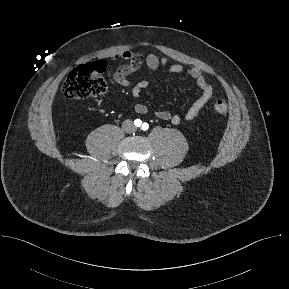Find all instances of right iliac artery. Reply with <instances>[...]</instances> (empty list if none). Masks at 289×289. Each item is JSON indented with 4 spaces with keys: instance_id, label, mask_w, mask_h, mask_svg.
<instances>
[{
    "instance_id": "1",
    "label": "right iliac artery",
    "mask_w": 289,
    "mask_h": 289,
    "mask_svg": "<svg viewBox=\"0 0 289 289\" xmlns=\"http://www.w3.org/2000/svg\"><path fill=\"white\" fill-rule=\"evenodd\" d=\"M134 124H135L137 127H139V126H141L142 121H141L140 119H136V120L134 121Z\"/></svg>"
}]
</instances>
